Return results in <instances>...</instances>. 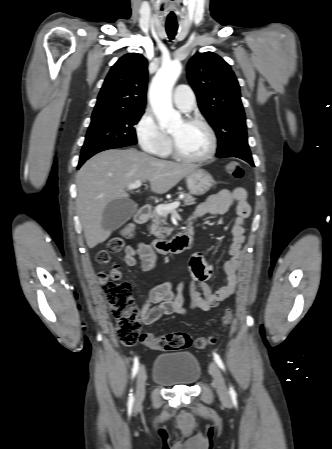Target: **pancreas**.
Wrapping results in <instances>:
<instances>
[{
  "mask_svg": "<svg viewBox=\"0 0 332 449\" xmlns=\"http://www.w3.org/2000/svg\"><path fill=\"white\" fill-rule=\"evenodd\" d=\"M183 202L185 206L193 205L195 203V198L190 194H184ZM166 204H168V202H166L165 205ZM151 219L152 224L149 229L150 234L157 238H164L165 236H169L171 234L172 229L164 227V225L167 224L164 219V215L159 214L156 209L152 212Z\"/></svg>",
  "mask_w": 332,
  "mask_h": 449,
  "instance_id": "cf45deb5",
  "label": "pancreas"
}]
</instances>
